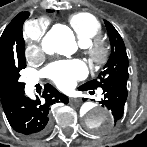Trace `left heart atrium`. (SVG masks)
<instances>
[{
	"label": "left heart atrium",
	"mask_w": 147,
	"mask_h": 147,
	"mask_svg": "<svg viewBox=\"0 0 147 147\" xmlns=\"http://www.w3.org/2000/svg\"><path fill=\"white\" fill-rule=\"evenodd\" d=\"M87 69L80 60L62 61L47 68L48 77L61 89L71 88L77 80L85 77Z\"/></svg>",
	"instance_id": "left-heart-atrium-1"
}]
</instances>
